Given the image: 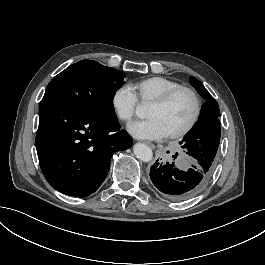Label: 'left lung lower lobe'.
<instances>
[{"instance_id":"obj_1","label":"left lung lower lobe","mask_w":265,"mask_h":265,"mask_svg":"<svg viewBox=\"0 0 265 265\" xmlns=\"http://www.w3.org/2000/svg\"><path fill=\"white\" fill-rule=\"evenodd\" d=\"M215 161L197 160L190 168L156 162L151 166L150 179L163 195L173 201H185L199 194L214 171Z\"/></svg>"}]
</instances>
